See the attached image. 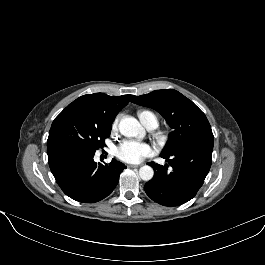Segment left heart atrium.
Segmentation results:
<instances>
[{
    "mask_svg": "<svg viewBox=\"0 0 265 265\" xmlns=\"http://www.w3.org/2000/svg\"><path fill=\"white\" fill-rule=\"evenodd\" d=\"M152 154L153 149L149 144L136 140H125L116 149L117 157L129 163L140 162Z\"/></svg>",
    "mask_w": 265,
    "mask_h": 265,
    "instance_id": "obj_1",
    "label": "left heart atrium"
}]
</instances>
